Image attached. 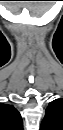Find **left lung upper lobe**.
I'll return each instance as SVG.
<instances>
[{"label":"left lung upper lobe","mask_w":63,"mask_h":130,"mask_svg":"<svg viewBox=\"0 0 63 130\" xmlns=\"http://www.w3.org/2000/svg\"><path fill=\"white\" fill-rule=\"evenodd\" d=\"M40 129L63 130V99H56L49 103Z\"/></svg>","instance_id":"1"}]
</instances>
